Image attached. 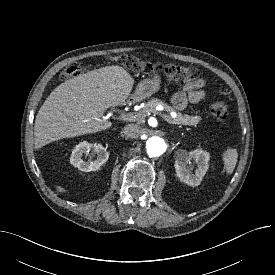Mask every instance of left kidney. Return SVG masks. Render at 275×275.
Masks as SVG:
<instances>
[{"mask_svg": "<svg viewBox=\"0 0 275 275\" xmlns=\"http://www.w3.org/2000/svg\"><path fill=\"white\" fill-rule=\"evenodd\" d=\"M210 155L202 149H196L191 152L178 150L175 157V170L179 179L190 186L200 185L206 171L208 170V161ZM193 161L197 164L195 174H192L191 164Z\"/></svg>", "mask_w": 275, "mask_h": 275, "instance_id": "obj_1", "label": "left kidney"}]
</instances>
